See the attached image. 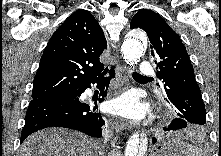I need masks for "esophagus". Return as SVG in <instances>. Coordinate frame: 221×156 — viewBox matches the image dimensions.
I'll use <instances>...</instances> for the list:
<instances>
[{"instance_id": "34e87169", "label": "esophagus", "mask_w": 221, "mask_h": 156, "mask_svg": "<svg viewBox=\"0 0 221 156\" xmlns=\"http://www.w3.org/2000/svg\"><path fill=\"white\" fill-rule=\"evenodd\" d=\"M116 72L121 83L126 84L129 80L130 70L125 64L120 62L119 59L116 66ZM112 128L118 132L126 128V124L123 122H115L112 124Z\"/></svg>"}]
</instances>
